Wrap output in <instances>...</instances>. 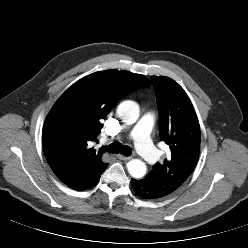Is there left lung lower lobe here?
I'll use <instances>...</instances> for the list:
<instances>
[{
  "label": "left lung lower lobe",
  "mask_w": 248,
  "mask_h": 248,
  "mask_svg": "<svg viewBox=\"0 0 248 248\" xmlns=\"http://www.w3.org/2000/svg\"><path fill=\"white\" fill-rule=\"evenodd\" d=\"M133 190L144 199H159L165 195L153 184L145 179L135 180L131 179Z\"/></svg>",
  "instance_id": "1"
}]
</instances>
